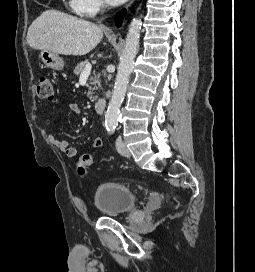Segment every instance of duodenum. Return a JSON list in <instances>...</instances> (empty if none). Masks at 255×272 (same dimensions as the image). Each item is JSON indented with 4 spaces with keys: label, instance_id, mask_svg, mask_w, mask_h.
Listing matches in <instances>:
<instances>
[{
    "label": "duodenum",
    "instance_id": "1",
    "mask_svg": "<svg viewBox=\"0 0 255 272\" xmlns=\"http://www.w3.org/2000/svg\"><path fill=\"white\" fill-rule=\"evenodd\" d=\"M106 107V100L104 98H99L95 103H94V109L97 113L102 114L105 110Z\"/></svg>",
    "mask_w": 255,
    "mask_h": 272
}]
</instances>
